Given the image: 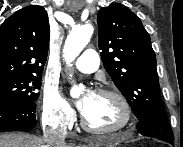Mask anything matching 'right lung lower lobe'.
Wrapping results in <instances>:
<instances>
[{"label": "right lung lower lobe", "mask_w": 183, "mask_h": 147, "mask_svg": "<svg viewBox=\"0 0 183 147\" xmlns=\"http://www.w3.org/2000/svg\"><path fill=\"white\" fill-rule=\"evenodd\" d=\"M36 104L32 101L0 103V132L28 131L36 124Z\"/></svg>", "instance_id": "1"}]
</instances>
